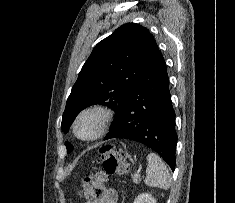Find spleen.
I'll list each match as a JSON object with an SVG mask.
<instances>
[{
  "instance_id": "3e777b00",
  "label": "spleen",
  "mask_w": 235,
  "mask_h": 203,
  "mask_svg": "<svg viewBox=\"0 0 235 203\" xmlns=\"http://www.w3.org/2000/svg\"><path fill=\"white\" fill-rule=\"evenodd\" d=\"M147 162L145 184L168 189L171 186V176L165 163L155 153L148 154Z\"/></svg>"
}]
</instances>
